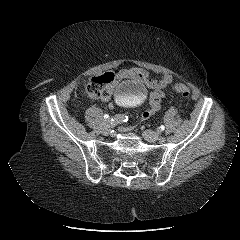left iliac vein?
<instances>
[{"mask_svg":"<svg viewBox=\"0 0 240 240\" xmlns=\"http://www.w3.org/2000/svg\"><path fill=\"white\" fill-rule=\"evenodd\" d=\"M159 134L154 132V131H151V130H145L143 132V137L145 138V140H147L148 142H155V141H158L160 140ZM162 141V140H161Z\"/></svg>","mask_w":240,"mask_h":240,"instance_id":"4c4485c4","label":"left iliac vein"}]
</instances>
